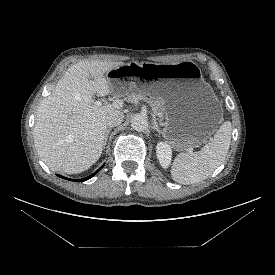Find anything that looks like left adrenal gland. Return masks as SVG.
Wrapping results in <instances>:
<instances>
[{"instance_id":"1","label":"left adrenal gland","mask_w":275,"mask_h":275,"mask_svg":"<svg viewBox=\"0 0 275 275\" xmlns=\"http://www.w3.org/2000/svg\"><path fill=\"white\" fill-rule=\"evenodd\" d=\"M153 129H154L155 132L158 133V134H156V136L159 137V135H160V129H159V126H158V123L156 121V117L155 116H153Z\"/></svg>"}]
</instances>
